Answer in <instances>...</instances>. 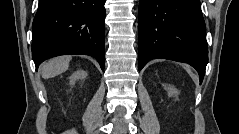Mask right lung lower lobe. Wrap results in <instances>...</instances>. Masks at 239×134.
I'll use <instances>...</instances> for the list:
<instances>
[{
  "label": "right lung lower lobe",
  "mask_w": 239,
  "mask_h": 134,
  "mask_svg": "<svg viewBox=\"0 0 239 134\" xmlns=\"http://www.w3.org/2000/svg\"><path fill=\"white\" fill-rule=\"evenodd\" d=\"M105 0H39L33 21L32 57L63 54L93 56L104 70Z\"/></svg>",
  "instance_id": "right-lung-lower-lobe-1"
}]
</instances>
